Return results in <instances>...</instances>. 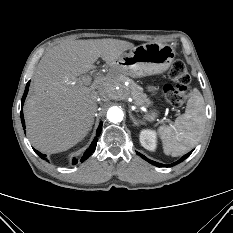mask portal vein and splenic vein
Masks as SVG:
<instances>
[{
	"label": "portal vein and splenic vein",
	"instance_id": "18ae733b",
	"mask_svg": "<svg viewBox=\"0 0 233 233\" xmlns=\"http://www.w3.org/2000/svg\"><path fill=\"white\" fill-rule=\"evenodd\" d=\"M82 81L86 86H88L90 84V82H91V77H89V76L84 77V78H82Z\"/></svg>",
	"mask_w": 233,
	"mask_h": 233
}]
</instances>
